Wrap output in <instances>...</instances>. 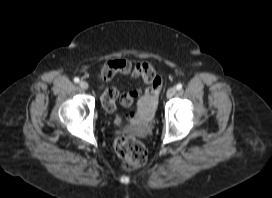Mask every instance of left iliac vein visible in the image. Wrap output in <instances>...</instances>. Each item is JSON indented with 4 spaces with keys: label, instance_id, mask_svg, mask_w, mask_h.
I'll return each mask as SVG.
<instances>
[{
    "label": "left iliac vein",
    "instance_id": "obj_1",
    "mask_svg": "<svg viewBox=\"0 0 272 198\" xmlns=\"http://www.w3.org/2000/svg\"><path fill=\"white\" fill-rule=\"evenodd\" d=\"M176 91H177L176 87L169 88L167 91V94H166L167 98L173 97L175 95Z\"/></svg>",
    "mask_w": 272,
    "mask_h": 198
}]
</instances>
